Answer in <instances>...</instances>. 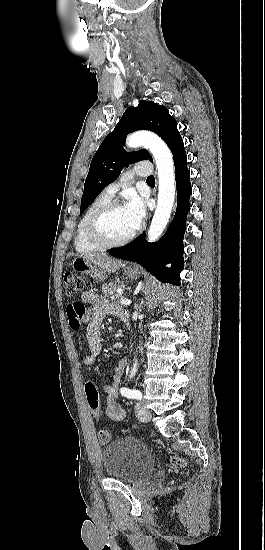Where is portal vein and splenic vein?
<instances>
[{"label": "portal vein and splenic vein", "instance_id": "obj_1", "mask_svg": "<svg viewBox=\"0 0 265 550\" xmlns=\"http://www.w3.org/2000/svg\"><path fill=\"white\" fill-rule=\"evenodd\" d=\"M120 303H121L122 305H130V304H131V301L128 300V299H125V298H121V299H120Z\"/></svg>", "mask_w": 265, "mask_h": 550}]
</instances>
